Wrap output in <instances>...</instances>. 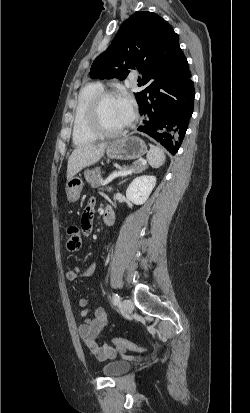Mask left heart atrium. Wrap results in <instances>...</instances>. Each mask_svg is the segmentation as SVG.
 <instances>
[{
	"label": "left heart atrium",
	"mask_w": 250,
	"mask_h": 413,
	"mask_svg": "<svg viewBox=\"0 0 250 413\" xmlns=\"http://www.w3.org/2000/svg\"><path fill=\"white\" fill-rule=\"evenodd\" d=\"M117 100L127 122L130 123L134 119L136 113L135 102L133 98L129 94L124 93L120 95Z\"/></svg>",
	"instance_id": "1"
}]
</instances>
